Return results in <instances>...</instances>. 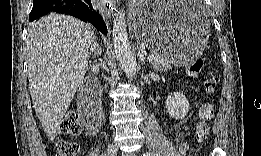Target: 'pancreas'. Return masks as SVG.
<instances>
[{
	"mask_svg": "<svg viewBox=\"0 0 261 156\" xmlns=\"http://www.w3.org/2000/svg\"><path fill=\"white\" fill-rule=\"evenodd\" d=\"M156 59L151 62L152 66L156 70H167L169 69L174 63L173 61L162 54H154Z\"/></svg>",
	"mask_w": 261,
	"mask_h": 156,
	"instance_id": "obj_1",
	"label": "pancreas"
}]
</instances>
